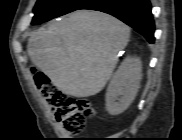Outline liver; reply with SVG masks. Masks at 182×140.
<instances>
[{"label":"liver","instance_id":"6515ba94","mask_svg":"<svg viewBox=\"0 0 182 140\" xmlns=\"http://www.w3.org/2000/svg\"><path fill=\"white\" fill-rule=\"evenodd\" d=\"M130 28L106 13L77 10L48 29L34 32L28 55L61 92L72 97L96 95L129 42Z\"/></svg>","mask_w":182,"mask_h":140}]
</instances>
